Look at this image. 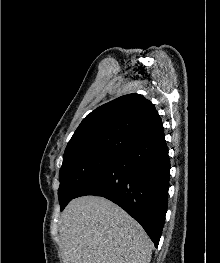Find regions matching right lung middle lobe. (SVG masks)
Here are the masks:
<instances>
[{
    "label": "right lung middle lobe",
    "mask_w": 220,
    "mask_h": 263,
    "mask_svg": "<svg viewBox=\"0 0 220 263\" xmlns=\"http://www.w3.org/2000/svg\"><path fill=\"white\" fill-rule=\"evenodd\" d=\"M122 151L91 148L64 153L58 189L61 211L90 180L115 161Z\"/></svg>",
    "instance_id": "obj_1"
}]
</instances>
